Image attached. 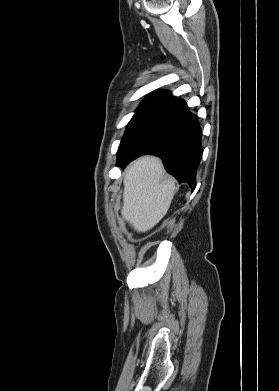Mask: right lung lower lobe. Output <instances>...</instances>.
<instances>
[{
  "instance_id": "98d812e1",
  "label": "right lung lower lobe",
  "mask_w": 279,
  "mask_h": 391,
  "mask_svg": "<svg viewBox=\"0 0 279 391\" xmlns=\"http://www.w3.org/2000/svg\"><path fill=\"white\" fill-rule=\"evenodd\" d=\"M201 136L197 117L179 99L163 109L139 136L119 148L117 165L141 155L155 154L162 159L168 173L179 182H187L193 190L201 161Z\"/></svg>"
}]
</instances>
